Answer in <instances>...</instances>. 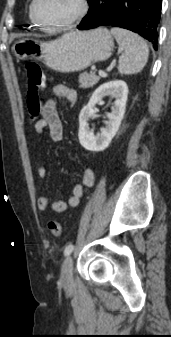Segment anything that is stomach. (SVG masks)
Instances as JSON below:
<instances>
[{"label": "stomach", "mask_w": 171, "mask_h": 337, "mask_svg": "<svg viewBox=\"0 0 171 337\" xmlns=\"http://www.w3.org/2000/svg\"><path fill=\"white\" fill-rule=\"evenodd\" d=\"M113 47L111 33L100 27L66 33L50 42L32 38L20 39L14 43L12 50L18 59H38L55 71L70 73L108 59Z\"/></svg>", "instance_id": "0dacf381"}]
</instances>
